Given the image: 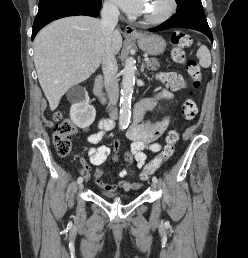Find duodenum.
I'll return each instance as SVG.
<instances>
[{"instance_id":"410a0bca","label":"duodenum","mask_w":248,"mask_h":258,"mask_svg":"<svg viewBox=\"0 0 248 258\" xmlns=\"http://www.w3.org/2000/svg\"><path fill=\"white\" fill-rule=\"evenodd\" d=\"M94 91H95V94L97 95L99 101L102 104H104L105 103V98H104V94H103V79H102L101 75H98L95 78Z\"/></svg>"}]
</instances>
